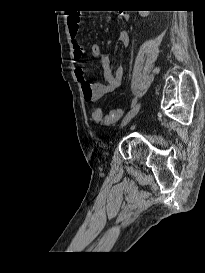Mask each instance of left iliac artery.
Here are the masks:
<instances>
[{
  "mask_svg": "<svg viewBox=\"0 0 205 273\" xmlns=\"http://www.w3.org/2000/svg\"><path fill=\"white\" fill-rule=\"evenodd\" d=\"M137 103V97H135L132 101L131 108L134 107V105Z\"/></svg>",
  "mask_w": 205,
  "mask_h": 273,
  "instance_id": "obj_1",
  "label": "left iliac artery"
}]
</instances>
